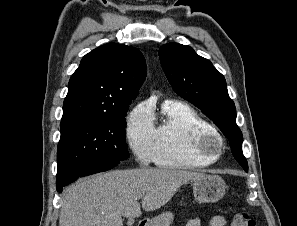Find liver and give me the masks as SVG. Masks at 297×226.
Segmentation results:
<instances>
[{
    "instance_id": "6515ba94",
    "label": "liver",
    "mask_w": 297,
    "mask_h": 226,
    "mask_svg": "<svg viewBox=\"0 0 297 226\" xmlns=\"http://www.w3.org/2000/svg\"><path fill=\"white\" fill-rule=\"evenodd\" d=\"M205 176L169 168L114 170L70 186L59 214V226H123L122 217L136 218L170 201L178 188ZM141 198V203L136 198Z\"/></svg>"
}]
</instances>
